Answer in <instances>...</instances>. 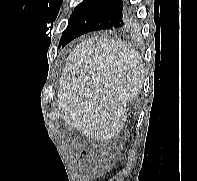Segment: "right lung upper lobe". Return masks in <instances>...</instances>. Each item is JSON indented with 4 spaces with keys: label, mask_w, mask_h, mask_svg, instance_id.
<instances>
[{
    "label": "right lung upper lobe",
    "mask_w": 197,
    "mask_h": 181,
    "mask_svg": "<svg viewBox=\"0 0 197 181\" xmlns=\"http://www.w3.org/2000/svg\"><path fill=\"white\" fill-rule=\"evenodd\" d=\"M95 1L97 0H84L82 3H80L75 9L77 10H86L91 4H93ZM127 28L123 27V28H119L117 29V31L123 32L126 31Z\"/></svg>",
    "instance_id": "right-lung-upper-lobe-1"
}]
</instances>
